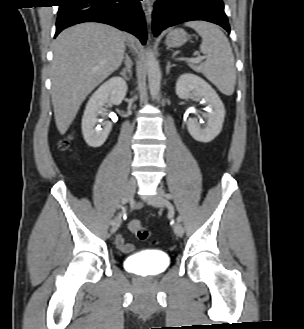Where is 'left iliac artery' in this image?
I'll list each match as a JSON object with an SVG mask.
<instances>
[{"label": "left iliac artery", "mask_w": 304, "mask_h": 329, "mask_svg": "<svg viewBox=\"0 0 304 329\" xmlns=\"http://www.w3.org/2000/svg\"><path fill=\"white\" fill-rule=\"evenodd\" d=\"M165 198H166V199H172V195H171L170 193H166V194H165ZM177 220H178L179 222H181V221H182V217H181V216H178V217H177Z\"/></svg>", "instance_id": "1"}]
</instances>
